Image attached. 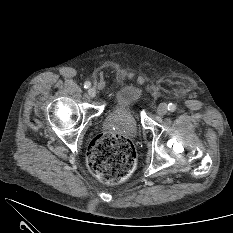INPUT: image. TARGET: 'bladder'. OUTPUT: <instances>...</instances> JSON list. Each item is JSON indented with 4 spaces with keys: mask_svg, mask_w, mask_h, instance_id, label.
<instances>
[{
    "mask_svg": "<svg viewBox=\"0 0 233 233\" xmlns=\"http://www.w3.org/2000/svg\"><path fill=\"white\" fill-rule=\"evenodd\" d=\"M143 89L134 83H128L119 88L116 93V103L121 107L131 108L141 101L143 98ZM131 131L135 133L137 131V122L135 116H131Z\"/></svg>",
    "mask_w": 233,
    "mask_h": 233,
    "instance_id": "31cf9c89",
    "label": "bladder"
}]
</instances>
